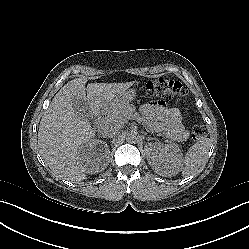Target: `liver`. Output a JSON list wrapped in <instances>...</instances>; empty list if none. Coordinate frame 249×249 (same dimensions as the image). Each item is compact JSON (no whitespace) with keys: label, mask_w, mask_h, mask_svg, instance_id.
<instances>
[{"label":"liver","mask_w":249,"mask_h":249,"mask_svg":"<svg viewBox=\"0 0 249 249\" xmlns=\"http://www.w3.org/2000/svg\"><path fill=\"white\" fill-rule=\"evenodd\" d=\"M85 82L72 80L62 88L41 121L38 135L45 161L68 166L79 176L87 170L96 136L82 105L93 115L110 112L129 87L89 83L85 88Z\"/></svg>","instance_id":"liver-1"}]
</instances>
